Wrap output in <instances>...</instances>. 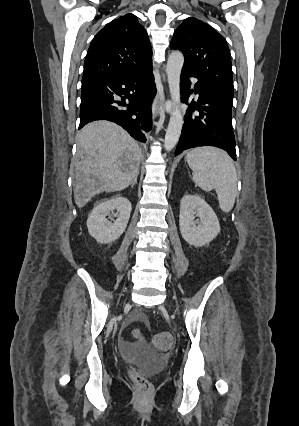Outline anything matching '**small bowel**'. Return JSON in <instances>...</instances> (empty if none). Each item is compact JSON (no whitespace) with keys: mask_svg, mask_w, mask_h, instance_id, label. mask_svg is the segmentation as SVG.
Segmentation results:
<instances>
[{"mask_svg":"<svg viewBox=\"0 0 299 426\" xmlns=\"http://www.w3.org/2000/svg\"><path fill=\"white\" fill-rule=\"evenodd\" d=\"M133 319L134 320H141V319H143V316L140 313H136V314L133 315ZM121 348H122L124 354L128 358L134 359L138 345L135 344V343H132V342H122Z\"/></svg>","mask_w":299,"mask_h":426,"instance_id":"1","label":"small bowel"}]
</instances>
